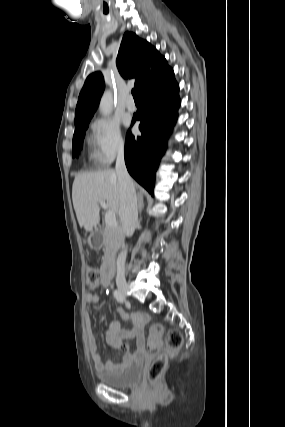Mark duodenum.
<instances>
[{
	"mask_svg": "<svg viewBox=\"0 0 285 427\" xmlns=\"http://www.w3.org/2000/svg\"><path fill=\"white\" fill-rule=\"evenodd\" d=\"M114 270H115V259L110 254L107 257V260L105 261L104 266H103V274L105 276V281L112 277Z\"/></svg>",
	"mask_w": 285,
	"mask_h": 427,
	"instance_id": "duodenum-1",
	"label": "duodenum"
}]
</instances>
